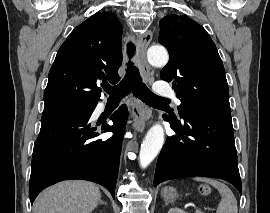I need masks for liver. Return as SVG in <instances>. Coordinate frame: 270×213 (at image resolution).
Masks as SVG:
<instances>
[{"mask_svg": "<svg viewBox=\"0 0 270 213\" xmlns=\"http://www.w3.org/2000/svg\"><path fill=\"white\" fill-rule=\"evenodd\" d=\"M101 200L99 188L86 181H65L43 191L33 213H91Z\"/></svg>", "mask_w": 270, "mask_h": 213, "instance_id": "liver-1", "label": "liver"}]
</instances>
